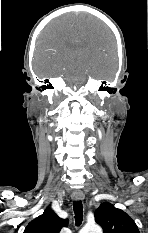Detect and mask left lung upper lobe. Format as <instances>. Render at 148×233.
I'll return each instance as SVG.
<instances>
[{
	"label": "left lung upper lobe",
	"mask_w": 148,
	"mask_h": 233,
	"mask_svg": "<svg viewBox=\"0 0 148 233\" xmlns=\"http://www.w3.org/2000/svg\"><path fill=\"white\" fill-rule=\"evenodd\" d=\"M95 220L104 233H140L133 219L109 202H104L98 207Z\"/></svg>",
	"instance_id": "1"
}]
</instances>
